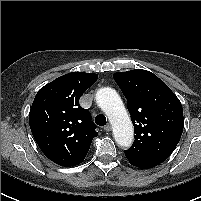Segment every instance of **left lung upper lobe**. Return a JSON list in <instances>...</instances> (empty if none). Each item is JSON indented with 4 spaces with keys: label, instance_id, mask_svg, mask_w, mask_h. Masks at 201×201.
<instances>
[{
    "label": "left lung upper lobe",
    "instance_id": "5c2ea615",
    "mask_svg": "<svg viewBox=\"0 0 201 201\" xmlns=\"http://www.w3.org/2000/svg\"><path fill=\"white\" fill-rule=\"evenodd\" d=\"M113 78L127 99L135 140L125 151L132 165L156 166L177 146L183 132L179 99L155 74L135 69L117 72Z\"/></svg>",
    "mask_w": 201,
    "mask_h": 201
}]
</instances>
